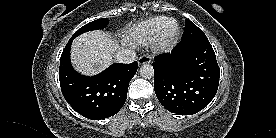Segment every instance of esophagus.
<instances>
[{
  "instance_id": "34e87169",
  "label": "esophagus",
  "mask_w": 276,
  "mask_h": 138,
  "mask_svg": "<svg viewBox=\"0 0 276 138\" xmlns=\"http://www.w3.org/2000/svg\"><path fill=\"white\" fill-rule=\"evenodd\" d=\"M150 62H151V56L147 54L140 56L138 59V65L148 64Z\"/></svg>"
}]
</instances>
